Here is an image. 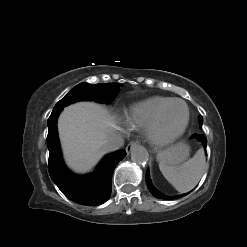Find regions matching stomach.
I'll list each match as a JSON object with an SVG mask.
<instances>
[{"mask_svg":"<svg viewBox=\"0 0 247 247\" xmlns=\"http://www.w3.org/2000/svg\"><path fill=\"white\" fill-rule=\"evenodd\" d=\"M190 153V147L183 142H180L167 150L163 151L160 159H165L168 165H176L185 161Z\"/></svg>","mask_w":247,"mask_h":247,"instance_id":"obj_1","label":"stomach"}]
</instances>
